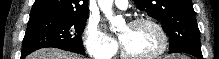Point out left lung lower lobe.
<instances>
[{"label": "left lung lower lobe", "mask_w": 219, "mask_h": 59, "mask_svg": "<svg viewBox=\"0 0 219 59\" xmlns=\"http://www.w3.org/2000/svg\"><path fill=\"white\" fill-rule=\"evenodd\" d=\"M170 53H188L195 56L197 59H202L201 47L198 45H185L173 51H169Z\"/></svg>", "instance_id": "obj_1"}]
</instances>
